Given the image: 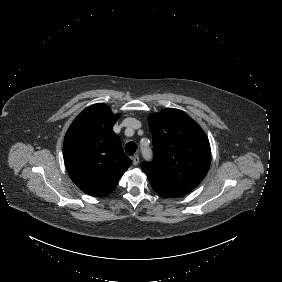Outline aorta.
Segmentation results:
<instances>
[{
    "label": "aorta",
    "instance_id": "1",
    "mask_svg": "<svg viewBox=\"0 0 282 282\" xmlns=\"http://www.w3.org/2000/svg\"><path fill=\"white\" fill-rule=\"evenodd\" d=\"M141 156L143 158V160L147 163H150L153 161L154 159V153L153 150L151 149L150 145L145 146L141 148L140 150Z\"/></svg>",
    "mask_w": 282,
    "mask_h": 282
}]
</instances>
